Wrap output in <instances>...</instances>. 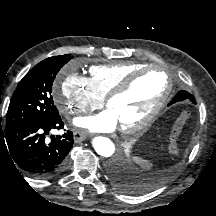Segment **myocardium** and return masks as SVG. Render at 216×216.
<instances>
[{"label": "myocardium", "mask_w": 216, "mask_h": 216, "mask_svg": "<svg viewBox=\"0 0 216 216\" xmlns=\"http://www.w3.org/2000/svg\"><path fill=\"white\" fill-rule=\"evenodd\" d=\"M153 70L160 71L166 78V89L163 93V95L159 98L157 103L154 105V107L149 111V113L142 118L140 121H138L135 124L129 125V126H122L120 130L122 133L126 135H131L138 133L142 130H144L146 127H148L154 119L159 115V113L163 110V108L168 103L172 89L173 84L170 75L167 71L164 69L157 67V66H142L131 73H129L118 85H116L105 97V104L107 107L110 106V102L118 98L122 95H124L129 89L132 87L134 82L145 73H148Z\"/></svg>", "instance_id": "f54148a6"}]
</instances>
